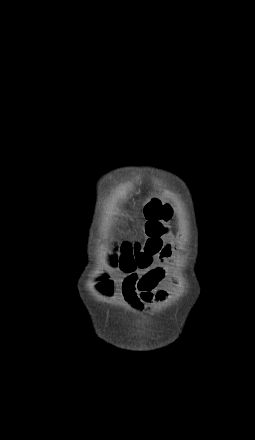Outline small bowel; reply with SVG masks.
Segmentation results:
<instances>
[{"instance_id": "c3829d8e", "label": "small bowel", "mask_w": 255, "mask_h": 440, "mask_svg": "<svg viewBox=\"0 0 255 440\" xmlns=\"http://www.w3.org/2000/svg\"><path fill=\"white\" fill-rule=\"evenodd\" d=\"M171 253L172 246L167 245L164 247L160 258L167 260ZM164 277L165 271L163 268L148 269L139 275L129 273L121 283L119 295L134 309L142 310L145 306L153 302L164 301L168 297L167 291L159 289ZM105 292L111 294L110 284H106Z\"/></svg>"}]
</instances>
